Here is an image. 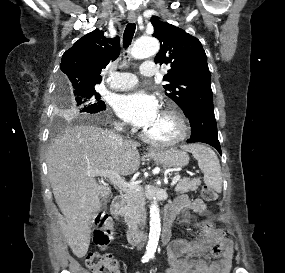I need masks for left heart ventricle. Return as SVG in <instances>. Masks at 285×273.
Returning a JSON list of instances; mask_svg holds the SVG:
<instances>
[{"label": "left heart ventricle", "instance_id": "obj_1", "mask_svg": "<svg viewBox=\"0 0 285 273\" xmlns=\"http://www.w3.org/2000/svg\"><path fill=\"white\" fill-rule=\"evenodd\" d=\"M144 132L154 139L168 140L178 133V126L172 117L161 113L157 121Z\"/></svg>", "mask_w": 285, "mask_h": 273}]
</instances>
